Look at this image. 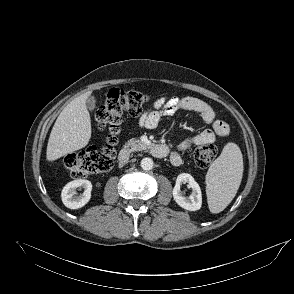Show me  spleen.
Here are the masks:
<instances>
[{"mask_svg": "<svg viewBox=\"0 0 294 294\" xmlns=\"http://www.w3.org/2000/svg\"><path fill=\"white\" fill-rule=\"evenodd\" d=\"M242 174V153L235 143H227L206 174V194L212 213L223 211L233 200Z\"/></svg>", "mask_w": 294, "mask_h": 294, "instance_id": "3e777b00", "label": "spleen"}]
</instances>
